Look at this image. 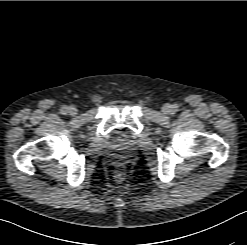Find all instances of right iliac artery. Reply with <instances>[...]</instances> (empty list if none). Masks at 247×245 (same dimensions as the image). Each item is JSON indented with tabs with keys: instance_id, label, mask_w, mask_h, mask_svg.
Returning <instances> with one entry per match:
<instances>
[{
	"instance_id": "1",
	"label": "right iliac artery",
	"mask_w": 247,
	"mask_h": 245,
	"mask_svg": "<svg viewBox=\"0 0 247 245\" xmlns=\"http://www.w3.org/2000/svg\"><path fill=\"white\" fill-rule=\"evenodd\" d=\"M68 112V107L67 106H63L62 108H61V113L62 114H66Z\"/></svg>"
}]
</instances>
